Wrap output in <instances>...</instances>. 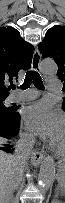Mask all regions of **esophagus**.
<instances>
[{"mask_svg": "<svg viewBox=\"0 0 65 203\" xmlns=\"http://www.w3.org/2000/svg\"><path fill=\"white\" fill-rule=\"evenodd\" d=\"M40 61H41V55L38 50H35L33 59H32V69L41 74L40 67H39ZM43 158H44V155L39 151L35 150L31 154V161L34 166H38L41 163Z\"/></svg>", "mask_w": 65, "mask_h": 203, "instance_id": "34e87169", "label": "esophagus"}]
</instances>
